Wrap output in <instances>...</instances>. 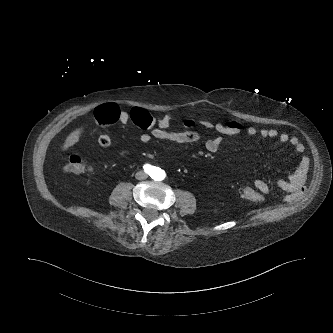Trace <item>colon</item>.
Returning <instances> with one entry per match:
<instances>
[{
    "mask_svg": "<svg viewBox=\"0 0 333 333\" xmlns=\"http://www.w3.org/2000/svg\"><path fill=\"white\" fill-rule=\"evenodd\" d=\"M120 110L115 104H103L99 106L94 113L96 123L105 127L115 123L119 119ZM194 122L191 120H186L183 122V127L186 131H199L194 129ZM242 128L241 123L238 121H230L224 124L221 128L213 125L211 127L202 126V130L209 135L215 136H225L226 132L230 129H240ZM65 170L74 174H81L91 171L90 165L79 155H71L65 166ZM243 198L250 200L252 202L261 203L264 200V196L252 187H244L241 191Z\"/></svg>",
    "mask_w": 333,
    "mask_h": 333,
    "instance_id": "obj_1",
    "label": "colon"
}]
</instances>
